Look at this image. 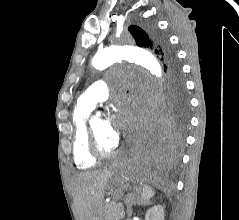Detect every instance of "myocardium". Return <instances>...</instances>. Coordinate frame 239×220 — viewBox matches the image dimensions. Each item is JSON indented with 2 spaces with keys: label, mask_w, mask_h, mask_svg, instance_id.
I'll return each instance as SVG.
<instances>
[{
  "label": "myocardium",
  "mask_w": 239,
  "mask_h": 220,
  "mask_svg": "<svg viewBox=\"0 0 239 220\" xmlns=\"http://www.w3.org/2000/svg\"><path fill=\"white\" fill-rule=\"evenodd\" d=\"M87 138H88V148L93 157L96 159L110 158L117 154L119 147L116 144L110 150H103L97 140V137L94 133L92 120L87 124Z\"/></svg>",
  "instance_id": "myocardium-1"
}]
</instances>
